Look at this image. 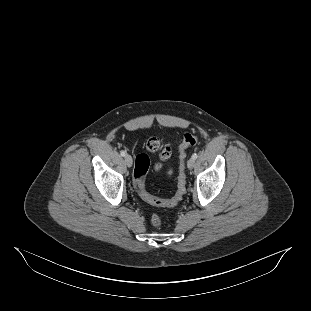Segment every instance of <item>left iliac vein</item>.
Instances as JSON below:
<instances>
[{
	"instance_id": "4c4485c4",
	"label": "left iliac vein",
	"mask_w": 311,
	"mask_h": 311,
	"mask_svg": "<svg viewBox=\"0 0 311 311\" xmlns=\"http://www.w3.org/2000/svg\"><path fill=\"white\" fill-rule=\"evenodd\" d=\"M194 166H195V159H193V158L189 159V160H188V163H187V167H188L189 169H193Z\"/></svg>"
}]
</instances>
